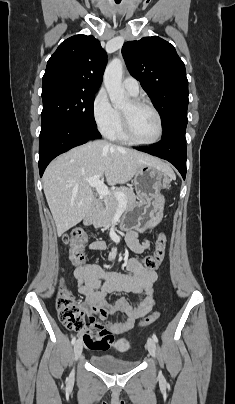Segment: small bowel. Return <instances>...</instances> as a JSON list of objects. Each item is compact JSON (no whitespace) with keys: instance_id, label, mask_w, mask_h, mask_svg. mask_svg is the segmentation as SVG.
Wrapping results in <instances>:
<instances>
[{"instance_id":"small-bowel-1","label":"small bowel","mask_w":235,"mask_h":404,"mask_svg":"<svg viewBox=\"0 0 235 404\" xmlns=\"http://www.w3.org/2000/svg\"><path fill=\"white\" fill-rule=\"evenodd\" d=\"M129 247L136 253L145 251L150 243L148 239H140L134 231L127 235ZM106 248L103 241H94L89 245L90 251H101ZM128 274H115L104 271L96 264H85L74 270L77 279V289L85 296L81 302L88 315L99 314L106 317L109 314L122 313L126 319L123 322L111 323L105 327V331L115 335L128 332L136 319L145 316L155 306L154 285L158 280L156 271L147 270L139 260L131 258L126 262ZM132 293L140 298L136 305H131L125 297L118 298L115 302H108L106 296L111 293ZM79 333L88 349L106 350L111 342L103 344L102 332L92 328L82 327ZM121 340L119 344H123Z\"/></svg>"}]
</instances>
